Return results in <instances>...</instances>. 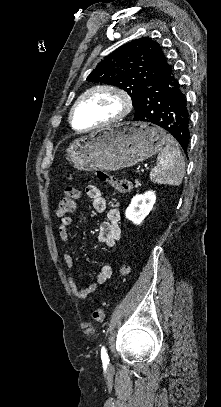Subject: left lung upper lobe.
Segmentation results:
<instances>
[{
	"label": "left lung upper lobe",
	"mask_w": 221,
	"mask_h": 407,
	"mask_svg": "<svg viewBox=\"0 0 221 407\" xmlns=\"http://www.w3.org/2000/svg\"><path fill=\"white\" fill-rule=\"evenodd\" d=\"M169 66L160 45L149 37H142L104 57L87 80L114 85L127 91L136 108L142 89Z\"/></svg>",
	"instance_id": "1"
}]
</instances>
